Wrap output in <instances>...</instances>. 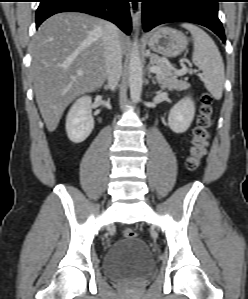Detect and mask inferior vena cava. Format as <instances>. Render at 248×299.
Instances as JSON below:
<instances>
[{"label": "inferior vena cava", "mask_w": 248, "mask_h": 299, "mask_svg": "<svg viewBox=\"0 0 248 299\" xmlns=\"http://www.w3.org/2000/svg\"><path fill=\"white\" fill-rule=\"evenodd\" d=\"M103 44L108 86L111 90H115L122 73V50L118 28L112 23H105Z\"/></svg>", "instance_id": "602c4592"}]
</instances>
